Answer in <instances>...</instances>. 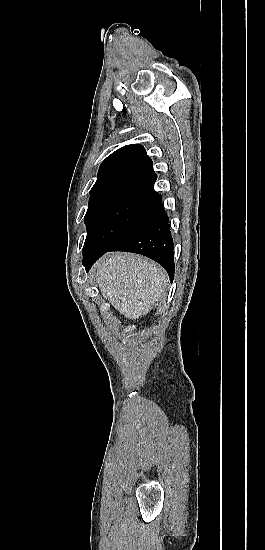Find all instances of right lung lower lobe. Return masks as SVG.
Returning <instances> with one entry per match:
<instances>
[{
	"mask_svg": "<svg viewBox=\"0 0 265 550\" xmlns=\"http://www.w3.org/2000/svg\"><path fill=\"white\" fill-rule=\"evenodd\" d=\"M107 251H127L142 254L159 263L174 278L173 239L168 216L161 204V195L148 208L135 225L111 247L104 251L83 256V265L88 271L94 262Z\"/></svg>",
	"mask_w": 265,
	"mask_h": 550,
	"instance_id": "right-lung-lower-lobe-1",
	"label": "right lung lower lobe"
}]
</instances>
